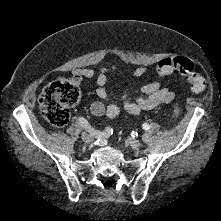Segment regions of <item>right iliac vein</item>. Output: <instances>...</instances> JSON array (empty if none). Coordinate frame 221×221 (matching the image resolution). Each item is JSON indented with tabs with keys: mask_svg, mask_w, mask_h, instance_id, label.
<instances>
[{
	"mask_svg": "<svg viewBox=\"0 0 221 221\" xmlns=\"http://www.w3.org/2000/svg\"><path fill=\"white\" fill-rule=\"evenodd\" d=\"M81 138L85 143H90L93 139V137L91 135H89L85 132L81 134Z\"/></svg>",
	"mask_w": 221,
	"mask_h": 221,
	"instance_id": "right-iliac-vein-1",
	"label": "right iliac vein"
}]
</instances>
